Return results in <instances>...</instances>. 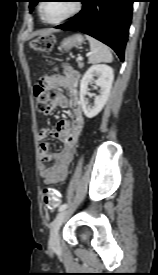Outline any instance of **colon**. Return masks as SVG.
<instances>
[{
  "label": "colon",
  "instance_id": "5ec220e1",
  "mask_svg": "<svg viewBox=\"0 0 158 275\" xmlns=\"http://www.w3.org/2000/svg\"><path fill=\"white\" fill-rule=\"evenodd\" d=\"M54 43L55 38L52 34H44L34 39L30 43V47L37 52H49L53 49ZM34 94L38 111L42 114H48L52 109L55 95L46 88L43 82L35 86ZM41 197L43 204L49 209H55L61 203L60 193L51 187H44Z\"/></svg>",
  "mask_w": 158,
  "mask_h": 275
}]
</instances>
